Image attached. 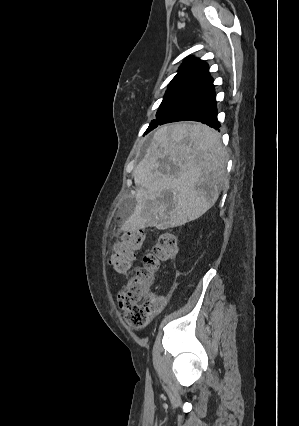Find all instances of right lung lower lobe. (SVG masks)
I'll return each mask as SVG.
<instances>
[{"label": "right lung lower lobe", "mask_w": 299, "mask_h": 426, "mask_svg": "<svg viewBox=\"0 0 299 426\" xmlns=\"http://www.w3.org/2000/svg\"><path fill=\"white\" fill-rule=\"evenodd\" d=\"M199 121L218 129L216 96L212 82L199 86L175 103L153 127L176 121Z\"/></svg>", "instance_id": "right-lung-lower-lobe-1"}]
</instances>
